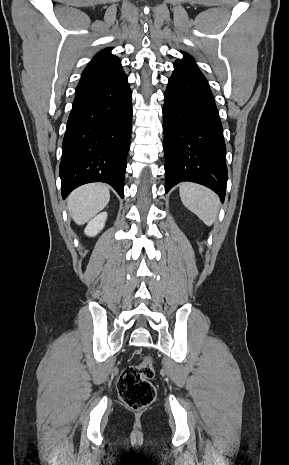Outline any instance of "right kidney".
Instances as JSON below:
<instances>
[{
	"label": "right kidney",
	"instance_id": "1",
	"mask_svg": "<svg viewBox=\"0 0 289 465\" xmlns=\"http://www.w3.org/2000/svg\"><path fill=\"white\" fill-rule=\"evenodd\" d=\"M106 219H107V213L106 212H102V213L98 214L97 216H95V218H93L88 223V225L85 228L84 233L87 236H95V235H97L104 228Z\"/></svg>",
	"mask_w": 289,
	"mask_h": 465
}]
</instances>
